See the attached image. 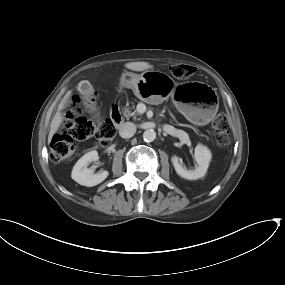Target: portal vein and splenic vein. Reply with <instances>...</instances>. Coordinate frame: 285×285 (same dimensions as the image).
I'll return each mask as SVG.
<instances>
[{
	"label": "portal vein and splenic vein",
	"mask_w": 285,
	"mask_h": 285,
	"mask_svg": "<svg viewBox=\"0 0 285 285\" xmlns=\"http://www.w3.org/2000/svg\"><path fill=\"white\" fill-rule=\"evenodd\" d=\"M145 111H146V106H145L144 104L140 103V104L138 105V112H139L140 114H143Z\"/></svg>",
	"instance_id": "1"
}]
</instances>
